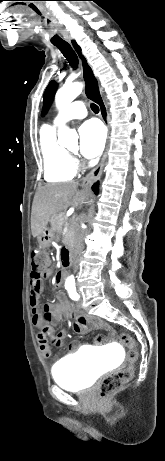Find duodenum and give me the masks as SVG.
<instances>
[{
	"label": "duodenum",
	"instance_id": "duodenum-1",
	"mask_svg": "<svg viewBox=\"0 0 165 461\" xmlns=\"http://www.w3.org/2000/svg\"><path fill=\"white\" fill-rule=\"evenodd\" d=\"M62 259H63L64 264H69L70 250L68 248V244H66L62 250Z\"/></svg>",
	"mask_w": 165,
	"mask_h": 461
}]
</instances>
